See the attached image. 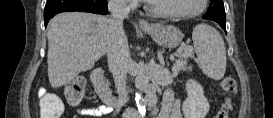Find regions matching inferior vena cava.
<instances>
[{
    "instance_id": "obj_1",
    "label": "inferior vena cava",
    "mask_w": 273,
    "mask_h": 118,
    "mask_svg": "<svg viewBox=\"0 0 273 118\" xmlns=\"http://www.w3.org/2000/svg\"><path fill=\"white\" fill-rule=\"evenodd\" d=\"M107 58L108 67L113 74L119 102L126 104L129 100L126 88V74L131 62L127 37L123 29V19L128 16L129 8L125 0H109Z\"/></svg>"
}]
</instances>
